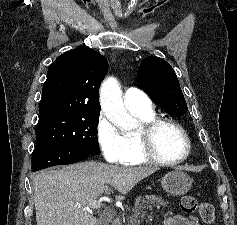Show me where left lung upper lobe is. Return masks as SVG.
Wrapping results in <instances>:
<instances>
[{"label":"left lung upper lobe","mask_w":237,"mask_h":225,"mask_svg":"<svg viewBox=\"0 0 237 225\" xmlns=\"http://www.w3.org/2000/svg\"><path fill=\"white\" fill-rule=\"evenodd\" d=\"M138 85L152 101L174 116L187 112V104L173 68L163 59L148 56L138 68Z\"/></svg>","instance_id":"1"}]
</instances>
